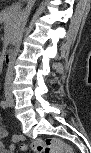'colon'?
<instances>
[{"label": "colon", "mask_w": 91, "mask_h": 153, "mask_svg": "<svg viewBox=\"0 0 91 153\" xmlns=\"http://www.w3.org/2000/svg\"><path fill=\"white\" fill-rule=\"evenodd\" d=\"M15 146L22 150H30L36 153H72L73 150L60 138L34 139L30 143H25L23 139H18Z\"/></svg>", "instance_id": "1"}]
</instances>
